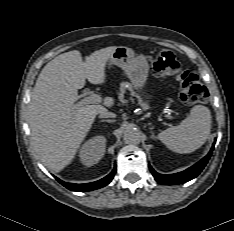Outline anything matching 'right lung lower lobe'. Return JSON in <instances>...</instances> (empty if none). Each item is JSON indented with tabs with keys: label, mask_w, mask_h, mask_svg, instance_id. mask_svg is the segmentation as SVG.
Returning a JSON list of instances; mask_svg holds the SVG:
<instances>
[{
	"label": "right lung lower lobe",
	"mask_w": 234,
	"mask_h": 231,
	"mask_svg": "<svg viewBox=\"0 0 234 231\" xmlns=\"http://www.w3.org/2000/svg\"><path fill=\"white\" fill-rule=\"evenodd\" d=\"M115 172H116V166L114 167L112 172L109 175H107L106 177H104L103 179L95 181V182H91V183H86V184L66 183V182L61 181L57 177H55V178L58 182H60L63 186H65L69 190L90 191V190L102 188V187L106 186L107 184H109L111 182V180L113 179Z\"/></svg>",
	"instance_id": "98d812e1"
}]
</instances>
